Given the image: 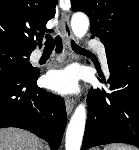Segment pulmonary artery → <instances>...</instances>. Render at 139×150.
Here are the masks:
<instances>
[{"mask_svg":"<svg viewBox=\"0 0 139 150\" xmlns=\"http://www.w3.org/2000/svg\"><path fill=\"white\" fill-rule=\"evenodd\" d=\"M88 46L97 51L105 69L108 70L106 49H105L104 44L99 41L94 40V41H90ZM41 55H42V53L39 50H36L33 52L32 58L34 60H37L41 57Z\"/></svg>","mask_w":139,"mask_h":150,"instance_id":"obj_1","label":"pulmonary artery"}]
</instances>
